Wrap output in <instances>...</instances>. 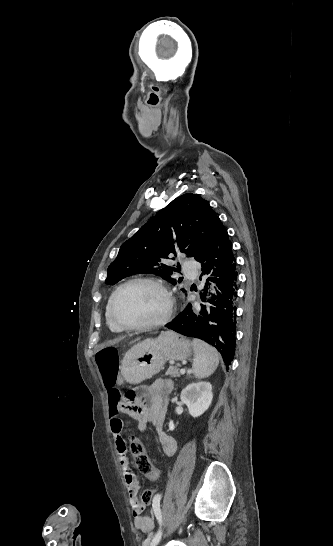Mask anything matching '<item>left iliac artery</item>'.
<instances>
[{
  "instance_id": "1",
  "label": "left iliac artery",
  "mask_w": 333,
  "mask_h": 546,
  "mask_svg": "<svg viewBox=\"0 0 333 546\" xmlns=\"http://www.w3.org/2000/svg\"><path fill=\"white\" fill-rule=\"evenodd\" d=\"M158 521H159L160 528H159L158 532L155 534V536L153 537V539H152V541L150 543V546H156L159 543V541L161 539V536H162V529H161V527H162V516L161 515L158 516Z\"/></svg>"
}]
</instances>
